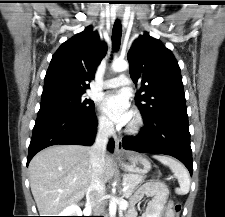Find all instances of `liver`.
<instances>
[{
  "instance_id": "6515ba94",
  "label": "liver",
  "mask_w": 225,
  "mask_h": 217,
  "mask_svg": "<svg viewBox=\"0 0 225 217\" xmlns=\"http://www.w3.org/2000/svg\"><path fill=\"white\" fill-rule=\"evenodd\" d=\"M90 147L54 145L36 154L29 164L30 187L40 216H56L81 200L91 181ZM113 159L105 155L101 180L114 175Z\"/></svg>"
}]
</instances>
